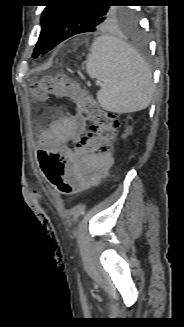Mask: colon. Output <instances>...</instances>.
I'll use <instances>...</instances> for the list:
<instances>
[{"mask_svg":"<svg viewBox=\"0 0 184 327\" xmlns=\"http://www.w3.org/2000/svg\"><path fill=\"white\" fill-rule=\"evenodd\" d=\"M31 93L36 99L58 97L75 101L77 110L90 121L87 133L81 139L75 152L79 159L106 153L112 145L119 122L116 116L102 109L94 98L78 83L65 75H46L34 82ZM70 150L40 151L39 162L50 185L61 195H71L78 182L71 178Z\"/></svg>","mask_w":184,"mask_h":327,"instance_id":"colon-1","label":"colon"}]
</instances>
